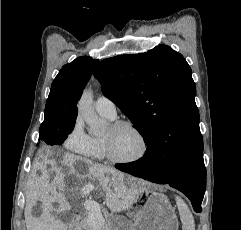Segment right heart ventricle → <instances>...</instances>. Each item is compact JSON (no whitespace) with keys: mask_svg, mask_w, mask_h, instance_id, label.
Instances as JSON below:
<instances>
[{"mask_svg":"<svg viewBox=\"0 0 241 230\" xmlns=\"http://www.w3.org/2000/svg\"><path fill=\"white\" fill-rule=\"evenodd\" d=\"M102 116H104V115H102ZM104 117H106L107 119H111V118H109L107 116H104ZM92 139H93L92 150L86 156H88V157H90L92 159H98V160L106 158V154H105V150H104L103 138L92 137Z\"/></svg>","mask_w":241,"mask_h":230,"instance_id":"obj_1","label":"right heart ventricle"}]
</instances>
